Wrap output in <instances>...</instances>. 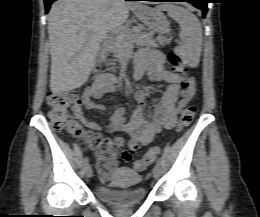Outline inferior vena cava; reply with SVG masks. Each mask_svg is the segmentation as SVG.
Instances as JSON below:
<instances>
[{
    "label": "inferior vena cava",
    "mask_w": 260,
    "mask_h": 217,
    "mask_svg": "<svg viewBox=\"0 0 260 217\" xmlns=\"http://www.w3.org/2000/svg\"><path fill=\"white\" fill-rule=\"evenodd\" d=\"M110 2L112 5H117L120 2V0H110Z\"/></svg>",
    "instance_id": "1"
}]
</instances>
